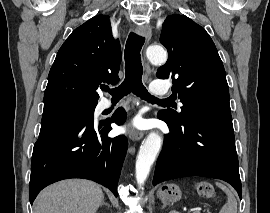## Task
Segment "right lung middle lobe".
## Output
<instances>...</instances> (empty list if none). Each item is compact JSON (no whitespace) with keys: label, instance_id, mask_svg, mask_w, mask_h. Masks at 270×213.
I'll return each instance as SVG.
<instances>
[{"label":"right lung middle lobe","instance_id":"dd1d6c3e","mask_svg":"<svg viewBox=\"0 0 270 213\" xmlns=\"http://www.w3.org/2000/svg\"><path fill=\"white\" fill-rule=\"evenodd\" d=\"M96 103L80 101H62L44 106L43 117L50 116H72L80 119L93 121Z\"/></svg>","mask_w":270,"mask_h":213}]
</instances>
